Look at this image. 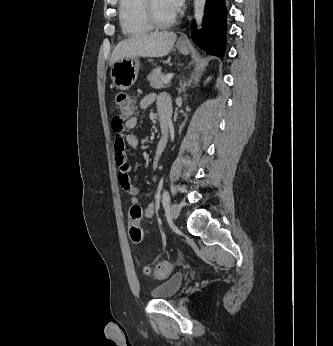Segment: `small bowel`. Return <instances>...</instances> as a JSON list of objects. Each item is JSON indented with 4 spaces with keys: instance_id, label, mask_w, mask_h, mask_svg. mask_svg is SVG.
I'll use <instances>...</instances> for the list:
<instances>
[{
    "instance_id": "small-bowel-1",
    "label": "small bowel",
    "mask_w": 333,
    "mask_h": 346,
    "mask_svg": "<svg viewBox=\"0 0 333 346\" xmlns=\"http://www.w3.org/2000/svg\"><path fill=\"white\" fill-rule=\"evenodd\" d=\"M157 101L158 113L160 116H165L170 119V103L166 95L156 97L154 94H148L142 98L139 103L141 110H145L150 104ZM137 116H131L126 121H122L115 117L112 121V128L115 133V162L118 166V180L121 188L131 196V204L133 206H140L138 201V194L140 186L131 182L129 178L130 165L127 161L126 145L136 147L139 143L137 136L131 134V131L138 125ZM166 146V141L161 139L156 147V160L161 156ZM142 210V216L145 218H152L156 212V204L150 203Z\"/></svg>"
}]
</instances>
